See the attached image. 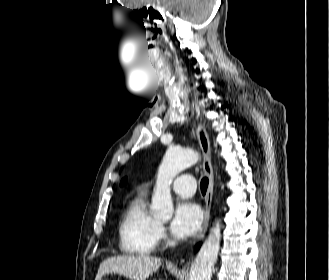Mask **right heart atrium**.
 Segmentation results:
<instances>
[{"instance_id": "1", "label": "right heart atrium", "mask_w": 329, "mask_h": 280, "mask_svg": "<svg viewBox=\"0 0 329 280\" xmlns=\"http://www.w3.org/2000/svg\"><path fill=\"white\" fill-rule=\"evenodd\" d=\"M165 229H164V227L162 226V225H159V227H158V239L159 240H162V239H164L165 238Z\"/></svg>"}]
</instances>
